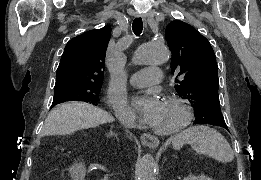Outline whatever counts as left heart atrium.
<instances>
[{
    "instance_id": "obj_1",
    "label": "left heart atrium",
    "mask_w": 261,
    "mask_h": 180,
    "mask_svg": "<svg viewBox=\"0 0 261 180\" xmlns=\"http://www.w3.org/2000/svg\"><path fill=\"white\" fill-rule=\"evenodd\" d=\"M161 102L162 100L156 93L147 92L134 96L131 100L129 110L149 123L160 108Z\"/></svg>"
}]
</instances>
